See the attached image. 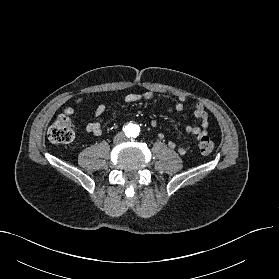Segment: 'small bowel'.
Here are the masks:
<instances>
[{
    "instance_id": "small-bowel-1",
    "label": "small bowel",
    "mask_w": 279,
    "mask_h": 279,
    "mask_svg": "<svg viewBox=\"0 0 279 279\" xmlns=\"http://www.w3.org/2000/svg\"><path fill=\"white\" fill-rule=\"evenodd\" d=\"M153 98L152 92H144L141 94L138 93H129L125 96L124 100L126 103H135L142 100H151ZM186 101L185 96H180L178 101L170 108L171 111L180 112L184 107V102ZM105 105H99L94 112L95 120L89 122L86 125V131L94 136H101L103 131L98 118H100L105 112ZM194 116L200 122L199 126H188L186 128V133L190 136H194L197 139H200L202 136L207 134V128L209 124V116L201 103H196L193 110ZM156 122H152V126H155ZM171 148H175L180 154H185L188 150V147L178 146L174 142H169Z\"/></svg>"
}]
</instances>
